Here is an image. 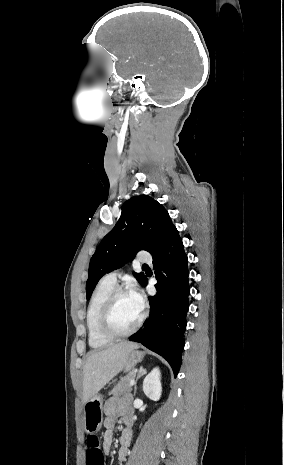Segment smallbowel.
Instances as JSON below:
<instances>
[{
  "instance_id": "obj_1",
  "label": "small bowel",
  "mask_w": 284,
  "mask_h": 465,
  "mask_svg": "<svg viewBox=\"0 0 284 465\" xmlns=\"http://www.w3.org/2000/svg\"><path fill=\"white\" fill-rule=\"evenodd\" d=\"M129 398H118L115 396L110 397L104 405L105 419L104 427L105 433L103 436V451L108 454L111 450L113 443V430L116 422L119 418L122 419L125 424L119 442V465L124 464V460L127 457L129 447L132 441V429H131V413L128 404Z\"/></svg>"
}]
</instances>
